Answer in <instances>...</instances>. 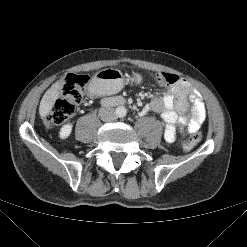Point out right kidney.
I'll return each mask as SVG.
<instances>
[{
    "mask_svg": "<svg viewBox=\"0 0 247 247\" xmlns=\"http://www.w3.org/2000/svg\"><path fill=\"white\" fill-rule=\"evenodd\" d=\"M72 131V124H65L62 126L59 132V136L61 139H66L70 136Z\"/></svg>",
    "mask_w": 247,
    "mask_h": 247,
    "instance_id": "ca27d5eb",
    "label": "right kidney"
}]
</instances>
